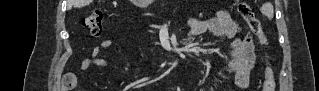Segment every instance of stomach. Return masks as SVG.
I'll return each instance as SVG.
<instances>
[{
    "instance_id": "1",
    "label": "stomach",
    "mask_w": 319,
    "mask_h": 91,
    "mask_svg": "<svg viewBox=\"0 0 319 91\" xmlns=\"http://www.w3.org/2000/svg\"><path fill=\"white\" fill-rule=\"evenodd\" d=\"M137 2H138V3H143V2H145L146 4H148V3L151 2V0H138Z\"/></svg>"
}]
</instances>
